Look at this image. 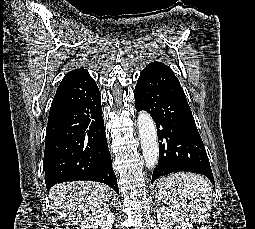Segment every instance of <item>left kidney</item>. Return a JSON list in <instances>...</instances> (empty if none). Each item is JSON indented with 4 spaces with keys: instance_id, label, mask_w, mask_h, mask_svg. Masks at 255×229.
<instances>
[{
    "instance_id": "left-kidney-1",
    "label": "left kidney",
    "mask_w": 255,
    "mask_h": 229,
    "mask_svg": "<svg viewBox=\"0 0 255 229\" xmlns=\"http://www.w3.org/2000/svg\"><path fill=\"white\" fill-rule=\"evenodd\" d=\"M157 220L160 229H172L176 224V229H194L192 223L182 213L162 206L157 211Z\"/></svg>"
}]
</instances>
